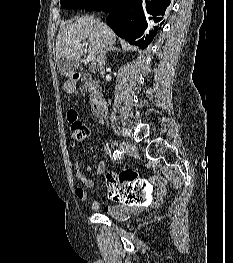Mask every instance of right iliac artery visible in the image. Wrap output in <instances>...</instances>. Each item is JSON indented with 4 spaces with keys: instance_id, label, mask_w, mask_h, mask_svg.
Returning a JSON list of instances; mask_svg holds the SVG:
<instances>
[{
    "instance_id": "right-iliac-artery-1",
    "label": "right iliac artery",
    "mask_w": 233,
    "mask_h": 263,
    "mask_svg": "<svg viewBox=\"0 0 233 263\" xmlns=\"http://www.w3.org/2000/svg\"><path fill=\"white\" fill-rule=\"evenodd\" d=\"M113 158L116 160H119V159H121L122 158V152H120L119 150H115L114 152H113Z\"/></svg>"
}]
</instances>
